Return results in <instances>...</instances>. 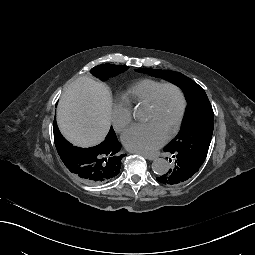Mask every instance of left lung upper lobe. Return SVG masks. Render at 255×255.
<instances>
[{
    "label": "left lung upper lobe",
    "mask_w": 255,
    "mask_h": 255,
    "mask_svg": "<svg viewBox=\"0 0 255 255\" xmlns=\"http://www.w3.org/2000/svg\"><path fill=\"white\" fill-rule=\"evenodd\" d=\"M136 71L165 79L183 90L188 101L186 119L182 130L168 142L167 147L171 151H179L182 157L199 170L206 159L213 133L214 113L205 91L192 79L179 72L148 68Z\"/></svg>",
    "instance_id": "5c2ea615"
}]
</instances>
